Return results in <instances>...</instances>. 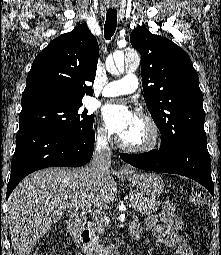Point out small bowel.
Segmentation results:
<instances>
[{"mask_svg": "<svg viewBox=\"0 0 221 255\" xmlns=\"http://www.w3.org/2000/svg\"><path fill=\"white\" fill-rule=\"evenodd\" d=\"M145 227L161 244L174 248L176 255H192L189 235L183 231L182 222L176 216L171 203L162 206L159 216H147ZM139 234V227L134 226L132 235L138 237Z\"/></svg>", "mask_w": 221, "mask_h": 255, "instance_id": "obj_1", "label": "small bowel"}]
</instances>
